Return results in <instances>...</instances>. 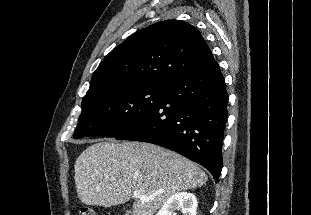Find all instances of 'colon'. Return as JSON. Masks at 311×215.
Listing matches in <instances>:
<instances>
[{"mask_svg": "<svg viewBox=\"0 0 311 215\" xmlns=\"http://www.w3.org/2000/svg\"><path fill=\"white\" fill-rule=\"evenodd\" d=\"M79 215H96V213L90 208H82L79 211Z\"/></svg>", "mask_w": 311, "mask_h": 215, "instance_id": "5ec220e1", "label": "colon"}]
</instances>
